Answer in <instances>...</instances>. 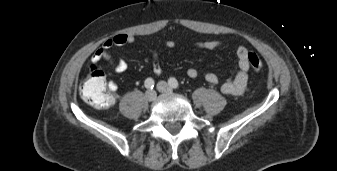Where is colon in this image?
Instances as JSON below:
<instances>
[{
    "mask_svg": "<svg viewBox=\"0 0 337 171\" xmlns=\"http://www.w3.org/2000/svg\"><path fill=\"white\" fill-rule=\"evenodd\" d=\"M248 61L253 71L262 69V61L256 53L250 52ZM80 95L86 103L97 109H105L113 104L114 95L108 89L104 73L97 64L90 66V76L82 85Z\"/></svg>",
    "mask_w": 337,
    "mask_h": 171,
    "instance_id": "colon-1",
    "label": "colon"
}]
</instances>
